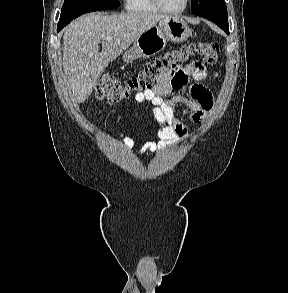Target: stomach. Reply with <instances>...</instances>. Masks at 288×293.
<instances>
[{
    "label": "stomach",
    "mask_w": 288,
    "mask_h": 293,
    "mask_svg": "<svg viewBox=\"0 0 288 293\" xmlns=\"http://www.w3.org/2000/svg\"><path fill=\"white\" fill-rule=\"evenodd\" d=\"M191 33L188 24L179 17L167 16L142 33L123 55V61L132 63L140 58H149L162 51L168 41H185Z\"/></svg>",
    "instance_id": "1"
}]
</instances>
